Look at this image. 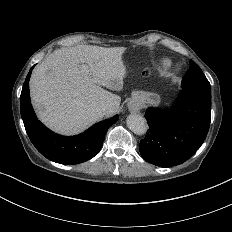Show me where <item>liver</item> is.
Instances as JSON below:
<instances>
[{"mask_svg": "<svg viewBox=\"0 0 232 232\" xmlns=\"http://www.w3.org/2000/svg\"><path fill=\"white\" fill-rule=\"evenodd\" d=\"M125 50V47L77 45L49 54L34 68L29 82L38 118L55 132L73 135L104 115L117 113L120 96L102 86L117 91L123 88ZM82 64L88 66L87 71L81 69ZM104 105L112 112L103 114Z\"/></svg>", "mask_w": 232, "mask_h": 232, "instance_id": "6515ba94", "label": "liver"}]
</instances>
